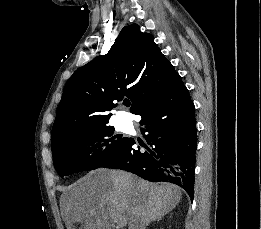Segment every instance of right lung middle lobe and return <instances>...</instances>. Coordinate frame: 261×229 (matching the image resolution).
I'll return each instance as SVG.
<instances>
[{"instance_id": "dd1d6c3e", "label": "right lung middle lobe", "mask_w": 261, "mask_h": 229, "mask_svg": "<svg viewBox=\"0 0 261 229\" xmlns=\"http://www.w3.org/2000/svg\"><path fill=\"white\" fill-rule=\"evenodd\" d=\"M108 123L72 127L70 135L53 150V161L63 177L79 171L94 170L117 156L129 138L113 136Z\"/></svg>"}]
</instances>
